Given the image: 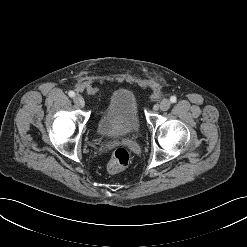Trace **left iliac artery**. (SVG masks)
<instances>
[{
  "label": "left iliac artery",
  "instance_id": "44dca946",
  "mask_svg": "<svg viewBox=\"0 0 247 247\" xmlns=\"http://www.w3.org/2000/svg\"><path fill=\"white\" fill-rule=\"evenodd\" d=\"M170 101H171L172 103H175V102L177 101L176 96H171Z\"/></svg>",
  "mask_w": 247,
  "mask_h": 247
}]
</instances>
